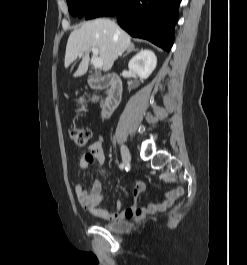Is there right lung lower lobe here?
Here are the masks:
<instances>
[{"label": "right lung lower lobe", "instance_id": "obj_1", "mask_svg": "<svg viewBox=\"0 0 247 265\" xmlns=\"http://www.w3.org/2000/svg\"><path fill=\"white\" fill-rule=\"evenodd\" d=\"M181 0H104L93 6L86 19L117 15L131 36L151 41L169 51L174 40L177 7Z\"/></svg>", "mask_w": 247, "mask_h": 265}]
</instances>
